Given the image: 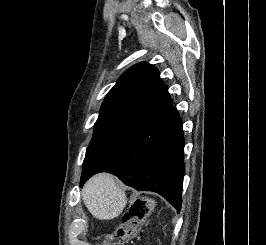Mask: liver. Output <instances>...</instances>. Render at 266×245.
<instances>
[{
    "label": "liver",
    "instance_id": "obj_1",
    "mask_svg": "<svg viewBox=\"0 0 266 245\" xmlns=\"http://www.w3.org/2000/svg\"><path fill=\"white\" fill-rule=\"evenodd\" d=\"M83 203L89 213L100 219H116L126 207V195L122 185H117L114 177L108 173H99L91 177L82 189Z\"/></svg>",
    "mask_w": 266,
    "mask_h": 245
}]
</instances>
